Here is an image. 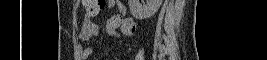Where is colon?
<instances>
[{"mask_svg":"<svg viewBox=\"0 0 267 60\" xmlns=\"http://www.w3.org/2000/svg\"><path fill=\"white\" fill-rule=\"evenodd\" d=\"M83 3L87 17H95L104 10V0H84ZM130 27L131 29H135L134 24H132Z\"/></svg>","mask_w":267,"mask_h":60,"instance_id":"colon-1","label":"colon"}]
</instances>
